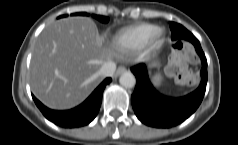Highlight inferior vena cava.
Instances as JSON below:
<instances>
[{
  "label": "inferior vena cava",
  "instance_id": "inferior-vena-cava-1",
  "mask_svg": "<svg viewBox=\"0 0 238 145\" xmlns=\"http://www.w3.org/2000/svg\"><path fill=\"white\" fill-rule=\"evenodd\" d=\"M115 70L116 64L112 61H108L101 66L99 73L104 77H111L114 75Z\"/></svg>",
  "mask_w": 238,
  "mask_h": 145
}]
</instances>
